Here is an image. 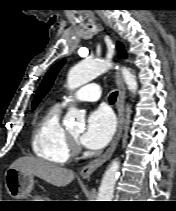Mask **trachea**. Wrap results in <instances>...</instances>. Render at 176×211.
Here are the masks:
<instances>
[{
    "label": "trachea",
    "instance_id": "3493384b",
    "mask_svg": "<svg viewBox=\"0 0 176 211\" xmlns=\"http://www.w3.org/2000/svg\"><path fill=\"white\" fill-rule=\"evenodd\" d=\"M116 98H117V92L111 93L109 97L110 103H114L116 101Z\"/></svg>",
    "mask_w": 176,
    "mask_h": 211
}]
</instances>
